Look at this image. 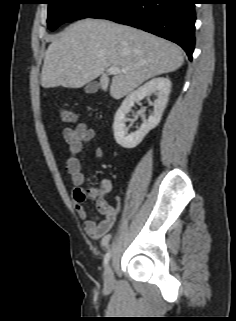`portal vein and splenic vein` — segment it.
<instances>
[{"mask_svg": "<svg viewBox=\"0 0 236 321\" xmlns=\"http://www.w3.org/2000/svg\"><path fill=\"white\" fill-rule=\"evenodd\" d=\"M121 72V69L118 67H109L108 68V73L111 75H116Z\"/></svg>", "mask_w": 236, "mask_h": 321, "instance_id": "1", "label": "portal vein and splenic vein"}]
</instances>
